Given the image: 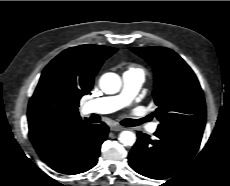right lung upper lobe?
I'll use <instances>...</instances> for the list:
<instances>
[{
  "mask_svg": "<svg viewBox=\"0 0 230 186\" xmlns=\"http://www.w3.org/2000/svg\"><path fill=\"white\" fill-rule=\"evenodd\" d=\"M117 51L102 45H80L61 52L43 70L28 105L29 137L43 149L53 139L87 122L78 113L103 62Z\"/></svg>",
  "mask_w": 230,
  "mask_h": 186,
  "instance_id": "obj_1",
  "label": "right lung upper lobe"
}]
</instances>
